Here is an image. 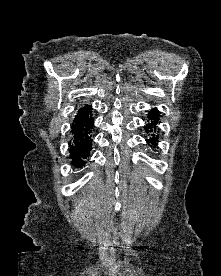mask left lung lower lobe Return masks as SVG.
<instances>
[{"label":"left lung lower lobe","instance_id":"left-lung-lower-lobe-1","mask_svg":"<svg viewBox=\"0 0 221 276\" xmlns=\"http://www.w3.org/2000/svg\"><path fill=\"white\" fill-rule=\"evenodd\" d=\"M148 119V124L144 127L147 133L156 130L157 124L159 122V111L156 108L152 109L148 114ZM157 139L158 136L155 137L153 134L152 137L147 140V142L153 144L155 147L156 142L158 141Z\"/></svg>","mask_w":221,"mask_h":276}]
</instances>
